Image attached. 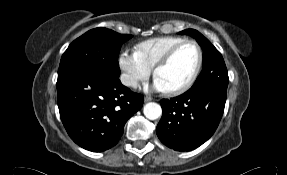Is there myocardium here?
Here are the masks:
<instances>
[{
  "instance_id": "obj_1",
  "label": "myocardium",
  "mask_w": 287,
  "mask_h": 175,
  "mask_svg": "<svg viewBox=\"0 0 287 175\" xmlns=\"http://www.w3.org/2000/svg\"><path fill=\"white\" fill-rule=\"evenodd\" d=\"M186 44H193L197 50H198V62L196 65V68L193 72V74L191 75V77L188 79V81L186 83H184L182 86L175 88V89H171V90H167L168 94L173 95V96H177V95H181L183 93H185L186 91H188L197 81L200 72L202 70V66H203V61H204V53H203V49L201 47V45L193 39H185L184 41L176 44L175 46H173L170 50H168L159 60L158 62L155 64V66L153 67V74L156 77L157 72L159 71V69H161L162 67H164L165 65H167L172 58L174 57V55L177 53V51L182 48L183 46H185Z\"/></svg>"
}]
</instances>
